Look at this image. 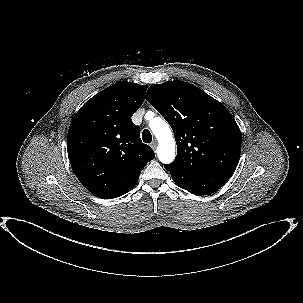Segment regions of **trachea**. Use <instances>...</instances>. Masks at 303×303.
I'll return each mask as SVG.
<instances>
[{
	"instance_id": "obj_1",
	"label": "trachea",
	"mask_w": 303,
	"mask_h": 303,
	"mask_svg": "<svg viewBox=\"0 0 303 303\" xmlns=\"http://www.w3.org/2000/svg\"><path fill=\"white\" fill-rule=\"evenodd\" d=\"M142 139H143V142L145 143H151L152 141V135L150 133V131L148 129H145L142 133Z\"/></svg>"
}]
</instances>
